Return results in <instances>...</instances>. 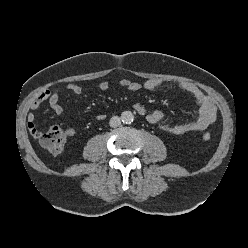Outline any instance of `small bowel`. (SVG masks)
I'll use <instances>...</instances> for the list:
<instances>
[{"label": "small bowel", "instance_id": "1", "mask_svg": "<svg viewBox=\"0 0 248 248\" xmlns=\"http://www.w3.org/2000/svg\"><path fill=\"white\" fill-rule=\"evenodd\" d=\"M119 85L121 88L129 91H139L140 89L144 88L147 91L154 92L166 86L167 82L161 79H149L143 83H140L137 81H132L128 78H123L119 81ZM176 85L178 86V88L189 93L194 98V101L197 106V117L195 120L180 124H172L166 121L163 112L159 110L149 111L141 103H135L133 105L134 110L139 115L145 117V119L149 123L156 125L161 131L169 134L182 135L185 133L202 131L206 129L210 124H212L216 120L217 117V107L214 100L191 82L182 81L178 82ZM98 87L101 91H107L109 89V83L103 81L99 83ZM65 88L75 95H81L83 92L82 88L74 83H68ZM61 92L62 88L44 90L30 103V109L36 110L43 102L48 101L54 113L56 115H62L63 107L60 104ZM96 119L101 121L105 119V115L98 114L96 116ZM27 127L31 135L34 138L39 139L41 132L38 130L35 124V115L33 113H29L27 116ZM74 133L75 131L72 128H68L66 130V134L68 136H73Z\"/></svg>", "mask_w": 248, "mask_h": 248}]
</instances>
